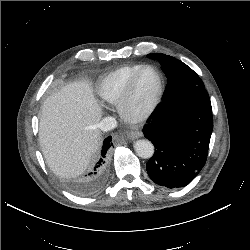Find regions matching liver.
Here are the masks:
<instances>
[{"label":"liver","mask_w":250,"mask_h":250,"mask_svg":"<svg viewBox=\"0 0 250 250\" xmlns=\"http://www.w3.org/2000/svg\"><path fill=\"white\" fill-rule=\"evenodd\" d=\"M101 108L90 85L77 81L47 97L42 105L39 141L49 168L58 176L83 173L99 146Z\"/></svg>","instance_id":"obj_1"}]
</instances>
